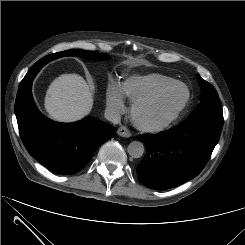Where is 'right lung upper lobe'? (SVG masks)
Masks as SVG:
<instances>
[{
	"instance_id": "obj_1",
	"label": "right lung upper lobe",
	"mask_w": 245,
	"mask_h": 245,
	"mask_svg": "<svg viewBox=\"0 0 245 245\" xmlns=\"http://www.w3.org/2000/svg\"><path fill=\"white\" fill-rule=\"evenodd\" d=\"M47 60V56H45L44 58L41 59V63L46 62ZM47 63V62H46ZM45 63V64H46ZM44 64V65H45ZM43 65V66H44ZM42 65H37L34 64V66L28 71V73L26 74V76L24 77V79L22 80L19 89H22L23 87H25L29 82H31L33 80V78L36 76V74L39 72V70L43 67ZM21 87V88H20Z\"/></svg>"
}]
</instances>
